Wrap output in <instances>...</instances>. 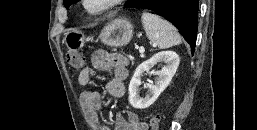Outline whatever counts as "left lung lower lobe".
<instances>
[{"instance_id":"obj_1","label":"left lung lower lobe","mask_w":257,"mask_h":130,"mask_svg":"<svg viewBox=\"0 0 257 130\" xmlns=\"http://www.w3.org/2000/svg\"><path fill=\"white\" fill-rule=\"evenodd\" d=\"M133 8L149 9L175 25L191 48L197 37L199 0H139Z\"/></svg>"}]
</instances>
